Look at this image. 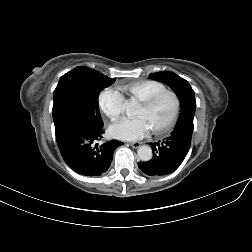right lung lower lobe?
Masks as SVG:
<instances>
[{"instance_id":"1","label":"right lung lower lobe","mask_w":252,"mask_h":252,"mask_svg":"<svg viewBox=\"0 0 252 252\" xmlns=\"http://www.w3.org/2000/svg\"><path fill=\"white\" fill-rule=\"evenodd\" d=\"M102 126L74 119L55 124L56 141L61 155L75 172L96 177L110 167L114 150L123 143L117 140L97 143L104 133Z\"/></svg>"}]
</instances>
